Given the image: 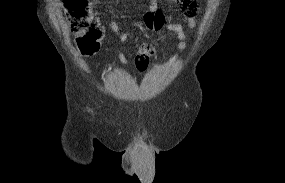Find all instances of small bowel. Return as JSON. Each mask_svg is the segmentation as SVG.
<instances>
[{
    "label": "small bowel",
    "mask_w": 285,
    "mask_h": 183,
    "mask_svg": "<svg viewBox=\"0 0 285 183\" xmlns=\"http://www.w3.org/2000/svg\"><path fill=\"white\" fill-rule=\"evenodd\" d=\"M181 5L184 10L182 16L183 23L189 29H194L196 27V10L193 0H181ZM190 9V11H187ZM144 22L147 28L155 31H159L166 28L168 31L175 34L178 39V49L184 50L187 45V32L186 28L181 23H165L164 16L158 11V0H154L152 7L149 12L144 16ZM111 30L119 35V40L121 43H125L129 39V35L126 32H120V27L116 21L110 22ZM156 49L150 43H142L139 47L138 54L136 56V64L145 63L148 65L149 61L155 56ZM119 59L122 63H127L125 55L120 52Z\"/></svg>",
    "instance_id": "obj_1"
}]
</instances>
